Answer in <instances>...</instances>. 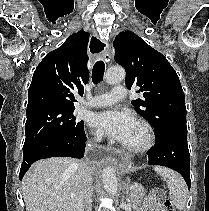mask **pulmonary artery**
I'll return each mask as SVG.
<instances>
[{
    "mask_svg": "<svg viewBox=\"0 0 209 211\" xmlns=\"http://www.w3.org/2000/svg\"><path fill=\"white\" fill-rule=\"evenodd\" d=\"M127 96V89L124 86H115L110 92L94 96L90 101L85 102L84 106L99 108L112 105Z\"/></svg>",
    "mask_w": 209,
    "mask_h": 211,
    "instance_id": "1",
    "label": "pulmonary artery"
}]
</instances>
